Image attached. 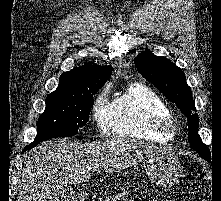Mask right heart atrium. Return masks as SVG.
<instances>
[{"instance_id":"d8ad5b80","label":"right heart atrium","mask_w":221,"mask_h":201,"mask_svg":"<svg viewBox=\"0 0 221 201\" xmlns=\"http://www.w3.org/2000/svg\"><path fill=\"white\" fill-rule=\"evenodd\" d=\"M92 119L102 134H107L111 128V102L108 88H104L94 99L91 107Z\"/></svg>"}]
</instances>
